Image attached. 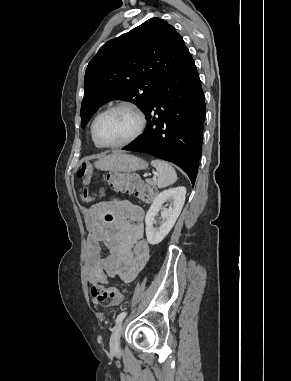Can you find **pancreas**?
<instances>
[{
	"mask_svg": "<svg viewBox=\"0 0 291 381\" xmlns=\"http://www.w3.org/2000/svg\"><path fill=\"white\" fill-rule=\"evenodd\" d=\"M146 181L149 185H151L152 187H155V181L154 180L147 179Z\"/></svg>",
	"mask_w": 291,
	"mask_h": 381,
	"instance_id": "obj_1",
	"label": "pancreas"
}]
</instances>
